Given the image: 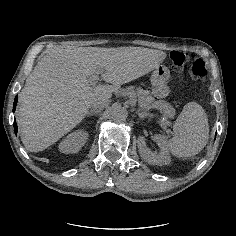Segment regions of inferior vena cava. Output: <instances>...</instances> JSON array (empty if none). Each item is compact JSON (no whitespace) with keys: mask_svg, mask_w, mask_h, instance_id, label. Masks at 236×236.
I'll use <instances>...</instances> for the list:
<instances>
[{"mask_svg":"<svg viewBox=\"0 0 236 236\" xmlns=\"http://www.w3.org/2000/svg\"><path fill=\"white\" fill-rule=\"evenodd\" d=\"M108 103H109V102H108ZM108 103H102V104H100L99 106L92 107V108H102L103 106L107 105Z\"/></svg>","mask_w":236,"mask_h":236,"instance_id":"602c4592","label":"inferior vena cava"}]
</instances>
